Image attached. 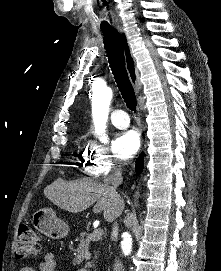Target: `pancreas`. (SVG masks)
<instances>
[{"mask_svg": "<svg viewBox=\"0 0 221 271\" xmlns=\"http://www.w3.org/2000/svg\"><path fill=\"white\" fill-rule=\"evenodd\" d=\"M91 233H87V231H81L79 233L78 237H76V242H88V239H90ZM97 257V255H95ZM86 265H91V263H86Z\"/></svg>", "mask_w": 221, "mask_h": 271, "instance_id": "pancreas-1", "label": "pancreas"}]
</instances>
